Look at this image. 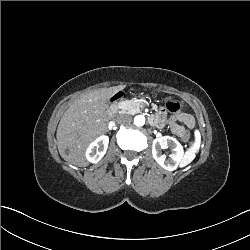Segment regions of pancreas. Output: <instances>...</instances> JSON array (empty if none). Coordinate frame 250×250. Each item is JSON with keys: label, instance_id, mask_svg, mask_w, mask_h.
I'll use <instances>...</instances> for the list:
<instances>
[{"label": "pancreas", "instance_id": "obj_1", "mask_svg": "<svg viewBox=\"0 0 250 250\" xmlns=\"http://www.w3.org/2000/svg\"><path fill=\"white\" fill-rule=\"evenodd\" d=\"M137 108V103L133 102V101H129L126 107V110H123L122 112H127V113H131L133 112L135 109Z\"/></svg>", "mask_w": 250, "mask_h": 250}]
</instances>
